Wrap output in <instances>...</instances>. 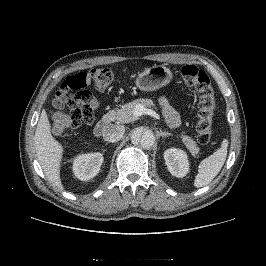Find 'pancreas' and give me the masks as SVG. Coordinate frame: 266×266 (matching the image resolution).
Segmentation results:
<instances>
[{
	"mask_svg": "<svg viewBox=\"0 0 266 266\" xmlns=\"http://www.w3.org/2000/svg\"><path fill=\"white\" fill-rule=\"evenodd\" d=\"M138 104H141L144 107L154 106V103L151 99H136L123 105L118 110L110 111L108 115L111 117L112 121H116L118 123L132 122L137 118V116L134 115V109ZM181 139L191 155L195 158H198L200 148L197 146L196 142L191 137L185 135L184 132L181 133Z\"/></svg>",
	"mask_w": 266,
	"mask_h": 266,
	"instance_id": "pancreas-1",
	"label": "pancreas"
}]
</instances>
